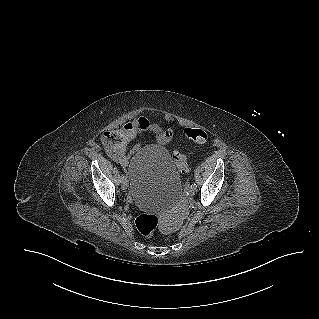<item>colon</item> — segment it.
Segmentation results:
<instances>
[{
	"mask_svg": "<svg viewBox=\"0 0 319 319\" xmlns=\"http://www.w3.org/2000/svg\"><path fill=\"white\" fill-rule=\"evenodd\" d=\"M177 136L181 140L190 139L194 144H203L207 142L210 137L207 131L193 127V124L188 121L180 125ZM172 157L180 173L185 174L189 171V162L182 152L174 150ZM135 224L141 234L150 236L154 234L159 227L160 220L155 215L141 214L136 218Z\"/></svg>",
	"mask_w": 319,
	"mask_h": 319,
	"instance_id": "1",
	"label": "colon"
}]
</instances>
